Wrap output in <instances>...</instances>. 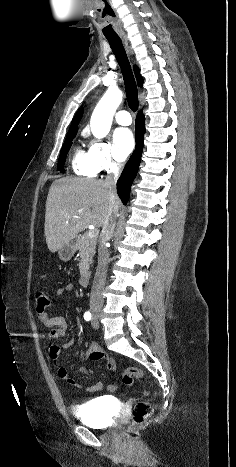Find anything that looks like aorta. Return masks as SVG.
<instances>
[{
	"label": "aorta",
	"instance_id": "1",
	"mask_svg": "<svg viewBox=\"0 0 236 467\" xmlns=\"http://www.w3.org/2000/svg\"><path fill=\"white\" fill-rule=\"evenodd\" d=\"M123 93L117 88H108L96 105L90 120L92 134L104 138L110 131L113 115L122 102Z\"/></svg>",
	"mask_w": 236,
	"mask_h": 467
}]
</instances>
